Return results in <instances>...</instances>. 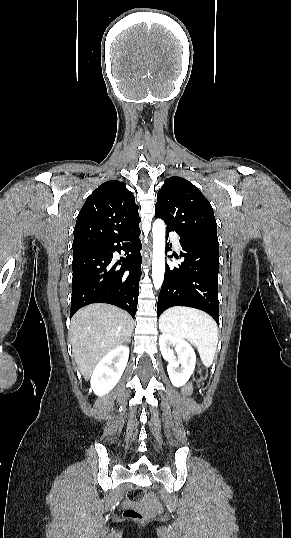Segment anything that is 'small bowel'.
Returning a JSON list of instances; mask_svg holds the SVG:
<instances>
[{"label":"small bowel","instance_id":"small-bowel-1","mask_svg":"<svg viewBox=\"0 0 291 538\" xmlns=\"http://www.w3.org/2000/svg\"><path fill=\"white\" fill-rule=\"evenodd\" d=\"M185 391H189V388H188V387H186V388H185Z\"/></svg>","mask_w":291,"mask_h":538}]
</instances>
